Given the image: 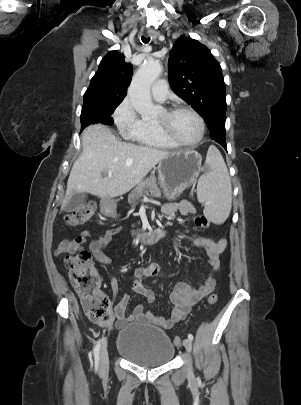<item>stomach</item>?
Here are the masks:
<instances>
[{"label": "stomach", "mask_w": 301, "mask_h": 405, "mask_svg": "<svg viewBox=\"0 0 301 405\" xmlns=\"http://www.w3.org/2000/svg\"><path fill=\"white\" fill-rule=\"evenodd\" d=\"M202 157L193 149L171 152L158 164L160 187L164 196L173 200L192 186L201 171Z\"/></svg>", "instance_id": "stomach-1"}]
</instances>
